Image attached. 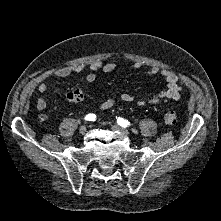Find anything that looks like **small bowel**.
Listing matches in <instances>:
<instances>
[{
  "instance_id": "small-bowel-1",
  "label": "small bowel",
  "mask_w": 221,
  "mask_h": 221,
  "mask_svg": "<svg viewBox=\"0 0 221 221\" xmlns=\"http://www.w3.org/2000/svg\"><path fill=\"white\" fill-rule=\"evenodd\" d=\"M118 67L116 62H102L100 60H94L89 63V69L90 72L86 75L85 80L87 83H93L97 78V72L103 71V72H112L116 70ZM135 68L141 67L140 63L134 64ZM85 68V64H71L66 65L60 68H57L53 75L55 77L59 78H65L68 76H71L73 74L81 72ZM147 73L149 76L154 77L161 75L165 82H166V88L159 92L158 94L152 95L150 97H135L129 93H122L118 99L116 98H110L106 100L105 102L101 103L99 105L100 110H106L111 107H113L118 100L125 102V103H131L134 102L138 106H147V105H157L162 103H167L169 101H176L180 98L181 91L183 90L182 82L179 78V76L169 70H162L158 66H151L148 68ZM37 89L41 93H46L50 90V85L45 82L41 81ZM81 91H83V88H79ZM29 90H32V88H29ZM74 91L66 93V99L70 100L71 95ZM84 92V91H83ZM85 95V94H84ZM84 98V97H83ZM83 98L81 100H83ZM80 100V101H81ZM36 107L38 110H44L47 107V102L44 98H39L36 101ZM50 119V117L46 114H40L39 120L41 122H47Z\"/></svg>"
}]
</instances>
